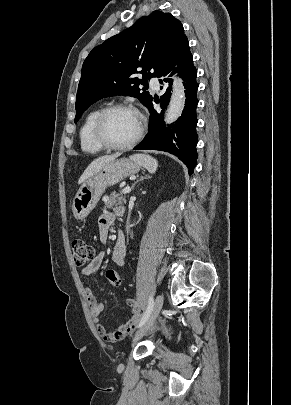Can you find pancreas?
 <instances>
[{
	"label": "pancreas",
	"instance_id": "pancreas-1",
	"mask_svg": "<svg viewBox=\"0 0 291 405\" xmlns=\"http://www.w3.org/2000/svg\"><path fill=\"white\" fill-rule=\"evenodd\" d=\"M104 204L106 206V208H114L117 207L118 205H122L123 203H126V198L122 196L121 193H111V195L108 196H104Z\"/></svg>",
	"mask_w": 291,
	"mask_h": 405
}]
</instances>
